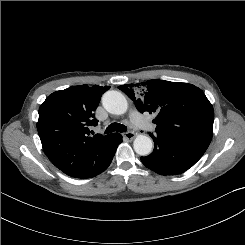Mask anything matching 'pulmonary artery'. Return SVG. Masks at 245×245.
<instances>
[{
	"label": "pulmonary artery",
	"instance_id": "e3ab8cb5",
	"mask_svg": "<svg viewBox=\"0 0 245 245\" xmlns=\"http://www.w3.org/2000/svg\"><path fill=\"white\" fill-rule=\"evenodd\" d=\"M131 122L138 128L143 129L145 131H153L154 125L144 119L138 112L132 111L130 113Z\"/></svg>",
	"mask_w": 245,
	"mask_h": 245
}]
</instances>
